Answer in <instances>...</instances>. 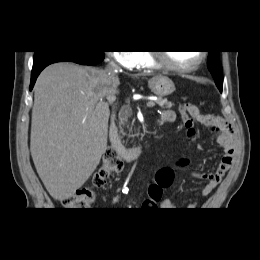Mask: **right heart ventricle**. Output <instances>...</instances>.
I'll use <instances>...</instances> for the list:
<instances>
[{"mask_svg":"<svg viewBox=\"0 0 260 260\" xmlns=\"http://www.w3.org/2000/svg\"><path fill=\"white\" fill-rule=\"evenodd\" d=\"M140 66L142 67H147V68H156L158 65L155 64L148 53H142L141 54V60L139 63Z\"/></svg>","mask_w":260,"mask_h":260,"instance_id":"e07e8e85","label":"right heart ventricle"}]
</instances>
